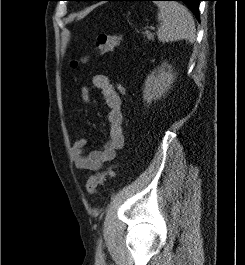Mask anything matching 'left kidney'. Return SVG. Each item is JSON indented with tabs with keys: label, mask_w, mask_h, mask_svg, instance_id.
I'll use <instances>...</instances> for the list:
<instances>
[{
	"label": "left kidney",
	"mask_w": 245,
	"mask_h": 265,
	"mask_svg": "<svg viewBox=\"0 0 245 265\" xmlns=\"http://www.w3.org/2000/svg\"><path fill=\"white\" fill-rule=\"evenodd\" d=\"M173 80L172 66L162 63L158 70L152 72L145 81L143 90L144 101L147 104H151L152 101L160 99L170 89Z\"/></svg>",
	"instance_id": "5707ae66"
}]
</instances>
